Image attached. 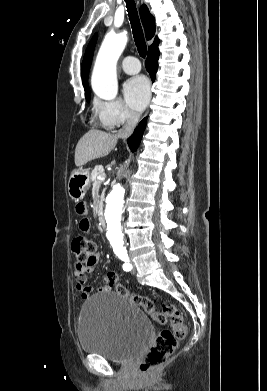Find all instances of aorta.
<instances>
[{
	"label": "aorta",
	"mask_w": 267,
	"mask_h": 391,
	"mask_svg": "<svg viewBox=\"0 0 267 391\" xmlns=\"http://www.w3.org/2000/svg\"><path fill=\"white\" fill-rule=\"evenodd\" d=\"M127 40L126 31L117 34L109 33L105 36L99 49L91 82L94 93L102 99L113 100L117 96L116 65ZM123 204L124 188L121 184H117L107 196L105 209L107 235L116 252L124 249L121 225Z\"/></svg>",
	"instance_id": "1"
}]
</instances>
